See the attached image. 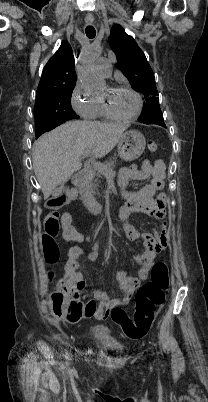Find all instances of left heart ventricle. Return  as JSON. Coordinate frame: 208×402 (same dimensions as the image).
<instances>
[{
    "label": "left heart ventricle",
    "instance_id": "1",
    "mask_svg": "<svg viewBox=\"0 0 208 402\" xmlns=\"http://www.w3.org/2000/svg\"><path fill=\"white\" fill-rule=\"evenodd\" d=\"M104 91L105 87L103 86L97 95L102 94ZM109 101L112 108L121 115H130L134 113L137 108V98L132 93L125 90L114 91Z\"/></svg>",
    "mask_w": 208,
    "mask_h": 402
}]
</instances>
